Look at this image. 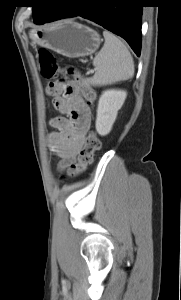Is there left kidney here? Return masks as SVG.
Instances as JSON below:
<instances>
[{"mask_svg":"<svg viewBox=\"0 0 181 300\" xmlns=\"http://www.w3.org/2000/svg\"><path fill=\"white\" fill-rule=\"evenodd\" d=\"M126 97L127 93L124 90L108 89L103 91L98 101L95 124L99 135L105 136L110 133Z\"/></svg>","mask_w":181,"mask_h":300,"instance_id":"obj_1","label":"left kidney"}]
</instances>
